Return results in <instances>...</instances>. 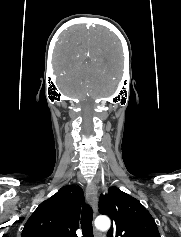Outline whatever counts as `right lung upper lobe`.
<instances>
[{
    "mask_svg": "<svg viewBox=\"0 0 181 237\" xmlns=\"http://www.w3.org/2000/svg\"><path fill=\"white\" fill-rule=\"evenodd\" d=\"M83 200L80 186L62 187L37 207L26 222L21 237H77Z\"/></svg>",
    "mask_w": 181,
    "mask_h": 237,
    "instance_id": "1",
    "label": "right lung upper lobe"
}]
</instances>
